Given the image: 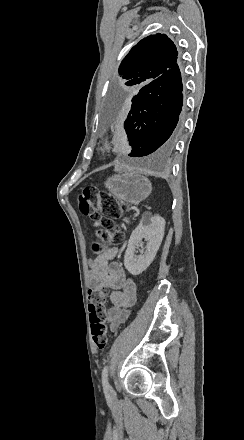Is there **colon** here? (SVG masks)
Segmentation results:
<instances>
[{"mask_svg": "<svg viewBox=\"0 0 244 440\" xmlns=\"http://www.w3.org/2000/svg\"><path fill=\"white\" fill-rule=\"evenodd\" d=\"M78 206L83 216L90 217L101 225L98 240L91 247L94 254H100L106 245L112 247L122 237L123 234L120 231L117 232V236L113 233L121 211L105 191L85 187L79 194ZM107 296L108 292L105 287L95 288L87 307L92 340L99 351L105 350L108 345L105 307Z\"/></svg>", "mask_w": 244, "mask_h": 440, "instance_id": "obj_1", "label": "colon"}]
</instances>
